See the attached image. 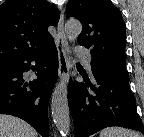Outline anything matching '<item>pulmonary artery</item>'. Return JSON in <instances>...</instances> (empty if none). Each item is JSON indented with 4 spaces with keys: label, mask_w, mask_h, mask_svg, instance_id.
<instances>
[{
    "label": "pulmonary artery",
    "mask_w": 144,
    "mask_h": 137,
    "mask_svg": "<svg viewBox=\"0 0 144 137\" xmlns=\"http://www.w3.org/2000/svg\"><path fill=\"white\" fill-rule=\"evenodd\" d=\"M76 53L78 56H80L81 58H83V60L85 61V64L87 66L88 69H91V61H92V57L91 54L89 53V51H87L86 49L82 48V47H78L76 50Z\"/></svg>",
    "instance_id": "obj_1"
}]
</instances>
